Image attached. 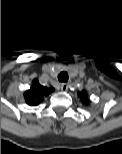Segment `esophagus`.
Here are the masks:
<instances>
[{
	"mask_svg": "<svg viewBox=\"0 0 122 154\" xmlns=\"http://www.w3.org/2000/svg\"><path fill=\"white\" fill-rule=\"evenodd\" d=\"M69 85L67 83H62L61 84V90L62 91H67L68 90Z\"/></svg>",
	"mask_w": 122,
	"mask_h": 154,
	"instance_id": "obj_1",
	"label": "esophagus"
}]
</instances>
